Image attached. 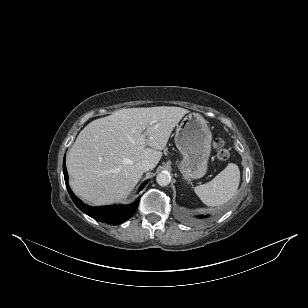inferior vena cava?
<instances>
[{
    "mask_svg": "<svg viewBox=\"0 0 308 308\" xmlns=\"http://www.w3.org/2000/svg\"><path fill=\"white\" fill-rule=\"evenodd\" d=\"M136 167H137L140 171H142V172H147V171H149L150 169H152L151 163H150L148 160H146V159H144V160L138 162V163L136 164Z\"/></svg>",
    "mask_w": 308,
    "mask_h": 308,
    "instance_id": "1",
    "label": "inferior vena cava"
}]
</instances>
